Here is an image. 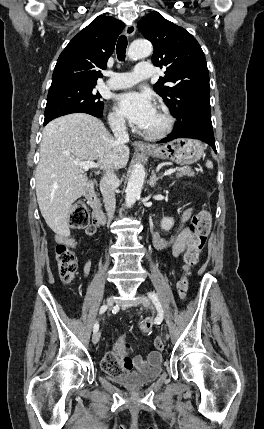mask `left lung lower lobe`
Wrapping results in <instances>:
<instances>
[{
  "label": "left lung lower lobe",
  "mask_w": 264,
  "mask_h": 429,
  "mask_svg": "<svg viewBox=\"0 0 264 429\" xmlns=\"http://www.w3.org/2000/svg\"><path fill=\"white\" fill-rule=\"evenodd\" d=\"M177 138H194L208 143L216 152L210 108L193 110L188 119L174 126V132L159 142H168Z\"/></svg>",
  "instance_id": "0a47b994"
}]
</instances>
